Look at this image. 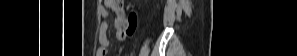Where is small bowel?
<instances>
[{"instance_id":"obj_1","label":"small bowel","mask_w":297,"mask_h":56,"mask_svg":"<svg viewBox=\"0 0 297 56\" xmlns=\"http://www.w3.org/2000/svg\"><path fill=\"white\" fill-rule=\"evenodd\" d=\"M110 11L113 14V25L116 29V38L119 41L125 40L132 35L136 27V16L131 15L129 18L125 17L121 11V5L115 0H105L102 15L106 16ZM99 49L98 56H105L109 49L108 25L102 23L99 34Z\"/></svg>"}]
</instances>
